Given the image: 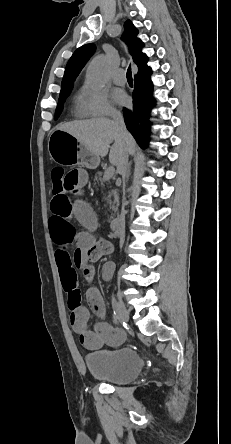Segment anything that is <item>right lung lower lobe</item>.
Here are the masks:
<instances>
[{
  "label": "right lung lower lobe",
  "mask_w": 231,
  "mask_h": 444,
  "mask_svg": "<svg viewBox=\"0 0 231 444\" xmlns=\"http://www.w3.org/2000/svg\"><path fill=\"white\" fill-rule=\"evenodd\" d=\"M151 69L148 68L135 76L133 91V109H124V121L127 129L136 139L137 143L145 148L149 141V116L154 99L152 98L153 84L151 82Z\"/></svg>",
  "instance_id": "1"
}]
</instances>
